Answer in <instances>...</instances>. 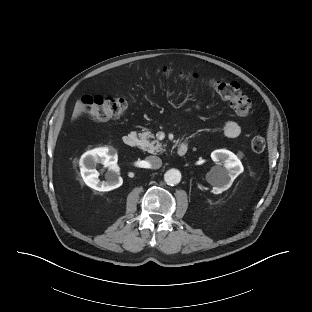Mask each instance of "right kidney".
I'll return each mask as SVG.
<instances>
[{
    "instance_id": "obj_1",
    "label": "right kidney",
    "mask_w": 312,
    "mask_h": 312,
    "mask_svg": "<svg viewBox=\"0 0 312 312\" xmlns=\"http://www.w3.org/2000/svg\"><path fill=\"white\" fill-rule=\"evenodd\" d=\"M117 160V154L108 148H98L84 153L80 158V172L86 185L97 191H110L120 187L123 179L119 176L120 168ZM100 163L108 167L105 181L98 179L96 165Z\"/></svg>"
}]
</instances>
